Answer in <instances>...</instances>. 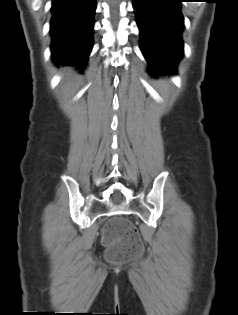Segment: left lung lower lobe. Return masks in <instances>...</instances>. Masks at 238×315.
Instances as JSON below:
<instances>
[{"instance_id":"left-lung-lower-lobe-1","label":"left lung lower lobe","mask_w":238,"mask_h":315,"mask_svg":"<svg viewBox=\"0 0 238 315\" xmlns=\"http://www.w3.org/2000/svg\"><path fill=\"white\" fill-rule=\"evenodd\" d=\"M183 0H133L140 48L149 73H175L183 57Z\"/></svg>"}]
</instances>
